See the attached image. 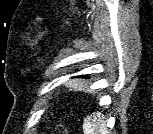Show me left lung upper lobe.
<instances>
[{"instance_id": "1", "label": "left lung upper lobe", "mask_w": 153, "mask_h": 134, "mask_svg": "<svg viewBox=\"0 0 153 134\" xmlns=\"http://www.w3.org/2000/svg\"><path fill=\"white\" fill-rule=\"evenodd\" d=\"M76 78H85V75L77 76Z\"/></svg>"}]
</instances>
